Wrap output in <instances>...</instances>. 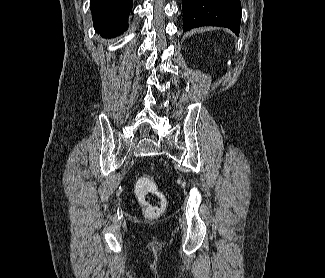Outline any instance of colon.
Masks as SVG:
<instances>
[{
    "instance_id": "obj_1",
    "label": "colon",
    "mask_w": 325,
    "mask_h": 278,
    "mask_svg": "<svg viewBox=\"0 0 325 278\" xmlns=\"http://www.w3.org/2000/svg\"><path fill=\"white\" fill-rule=\"evenodd\" d=\"M136 194L145 206L148 218L158 217L166 206V198L150 177H140L135 183Z\"/></svg>"
}]
</instances>
